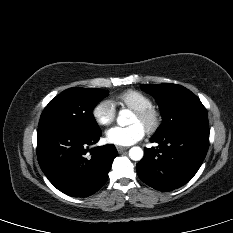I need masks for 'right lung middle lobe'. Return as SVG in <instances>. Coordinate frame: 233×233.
Segmentation results:
<instances>
[{"label":"right lung middle lobe","mask_w":233,"mask_h":233,"mask_svg":"<svg viewBox=\"0 0 233 233\" xmlns=\"http://www.w3.org/2000/svg\"><path fill=\"white\" fill-rule=\"evenodd\" d=\"M108 96V91L73 87L61 92L44 108L38 128L65 125L84 130H99L92 114L96 104Z\"/></svg>","instance_id":"dd1d6c3e"}]
</instances>
